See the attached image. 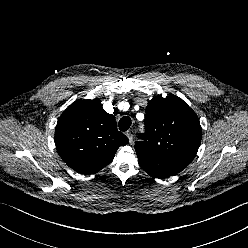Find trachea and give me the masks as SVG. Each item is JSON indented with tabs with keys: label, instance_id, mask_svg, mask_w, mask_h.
<instances>
[{
	"label": "trachea",
	"instance_id": "3493384b",
	"mask_svg": "<svg viewBox=\"0 0 248 248\" xmlns=\"http://www.w3.org/2000/svg\"><path fill=\"white\" fill-rule=\"evenodd\" d=\"M131 118L129 116H123L119 121V130L127 131L131 126Z\"/></svg>",
	"mask_w": 248,
	"mask_h": 248
}]
</instances>
